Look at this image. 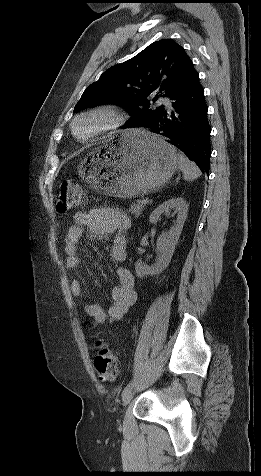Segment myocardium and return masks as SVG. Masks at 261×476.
<instances>
[{"label":"myocardium","instance_id":"f54148a6","mask_svg":"<svg viewBox=\"0 0 261 476\" xmlns=\"http://www.w3.org/2000/svg\"><path fill=\"white\" fill-rule=\"evenodd\" d=\"M87 119H97L95 128L85 136L77 133L76 126ZM126 121V114L115 105L102 104L77 114L70 123L72 136L79 142L86 143L106 133L119 129Z\"/></svg>","mask_w":261,"mask_h":476}]
</instances>
